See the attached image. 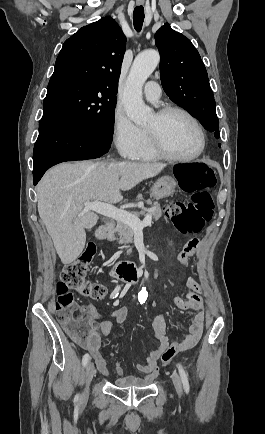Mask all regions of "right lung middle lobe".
<instances>
[{
    "mask_svg": "<svg viewBox=\"0 0 265 434\" xmlns=\"http://www.w3.org/2000/svg\"><path fill=\"white\" fill-rule=\"evenodd\" d=\"M117 87L96 78L50 79L43 116H54L81 130L112 135Z\"/></svg>",
    "mask_w": 265,
    "mask_h": 434,
    "instance_id": "obj_1",
    "label": "right lung middle lobe"
}]
</instances>
